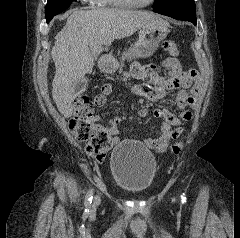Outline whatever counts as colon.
Wrapping results in <instances>:
<instances>
[{
    "instance_id": "obj_1",
    "label": "colon",
    "mask_w": 240,
    "mask_h": 238,
    "mask_svg": "<svg viewBox=\"0 0 240 238\" xmlns=\"http://www.w3.org/2000/svg\"><path fill=\"white\" fill-rule=\"evenodd\" d=\"M164 50L172 57H177L180 53L175 42L167 40L163 43ZM92 103L85 94L79 95L73 103V114L69 121V128L73 135L87 142V154L96 160H101L109 145L110 136L102 127L89 121L92 115ZM176 139V138H175ZM183 148V142L179 141L172 145L173 154H179Z\"/></svg>"
}]
</instances>
